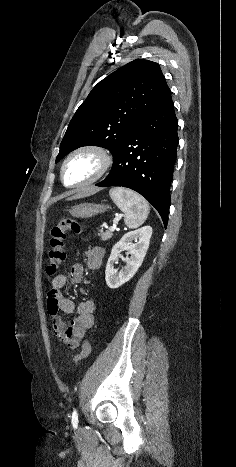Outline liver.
I'll return each mask as SVG.
<instances>
[{"mask_svg":"<svg viewBox=\"0 0 236 467\" xmlns=\"http://www.w3.org/2000/svg\"><path fill=\"white\" fill-rule=\"evenodd\" d=\"M98 190H99L98 188H94V187L81 188L80 190H77L76 192H74V194L68 197L66 200L80 199V198L92 195L96 193Z\"/></svg>","mask_w":236,"mask_h":467,"instance_id":"1","label":"liver"}]
</instances>
